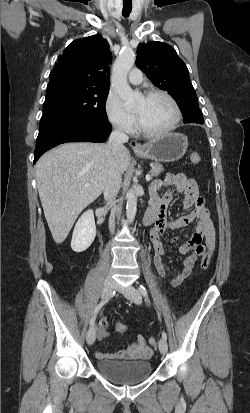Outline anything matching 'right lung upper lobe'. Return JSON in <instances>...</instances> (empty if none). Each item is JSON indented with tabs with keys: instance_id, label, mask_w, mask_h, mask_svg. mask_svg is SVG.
I'll return each mask as SVG.
<instances>
[{
	"instance_id": "cb5924a9",
	"label": "right lung upper lobe",
	"mask_w": 250,
	"mask_h": 413,
	"mask_svg": "<svg viewBox=\"0 0 250 413\" xmlns=\"http://www.w3.org/2000/svg\"><path fill=\"white\" fill-rule=\"evenodd\" d=\"M111 60L109 44L101 35L75 40L58 57L46 91L62 85L109 89Z\"/></svg>"
}]
</instances>
